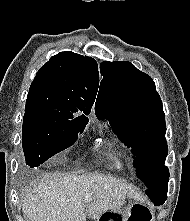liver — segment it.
Instances as JSON below:
<instances>
[{"mask_svg":"<svg viewBox=\"0 0 190 221\" xmlns=\"http://www.w3.org/2000/svg\"><path fill=\"white\" fill-rule=\"evenodd\" d=\"M126 197L138 194L109 175L46 174L23 198L22 211L29 221H86L87 216L97 220L105 211L121 209Z\"/></svg>","mask_w":190,"mask_h":221,"instance_id":"obj_1","label":"liver"}]
</instances>
